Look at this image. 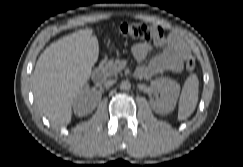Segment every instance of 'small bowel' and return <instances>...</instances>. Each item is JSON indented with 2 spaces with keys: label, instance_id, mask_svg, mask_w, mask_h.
Segmentation results:
<instances>
[{
  "label": "small bowel",
  "instance_id": "small-bowel-1",
  "mask_svg": "<svg viewBox=\"0 0 243 167\" xmlns=\"http://www.w3.org/2000/svg\"><path fill=\"white\" fill-rule=\"evenodd\" d=\"M154 45L162 48V52L146 63L152 46L140 42L133 46V56L138 62L137 76L149 79L159 74L178 73L183 68V61L190 55L188 43L176 33H160L154 39Z\"/></svg>",
  "mask_w": 243,
  "mask_h": 167
}]
</instances>
